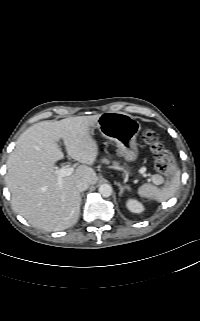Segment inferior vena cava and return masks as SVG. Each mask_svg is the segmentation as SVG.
<instances>
[{
  "label": "inferior vena cava",
  "mask_w": 200,
  "mask_h": 321,
  "mask_svg": "<svg viewBox=\"0 0 200 321\" xmlns=\"http://www.w3.org/2000/svg\"><path fill=\"white\" fill-rule=\"evenodd\" d=\"M89 182L86 179H79L76 182V188L79 192H83L88 189L89 187Z\"/></svg>",
  "instance_id": "inferior-vena-cava-1"
}]
</instances>
